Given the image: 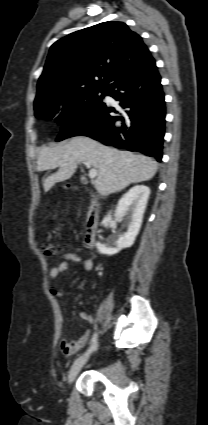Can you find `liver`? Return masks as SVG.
<instances>
[{
    "mask_svg": "<svg viewBox=\"0 0 208 425\" xmlns=\"http://www.w3.org/2000/svg\"><path fill=\"white\" fill-rule=\"evenodd\" d=\"M80 162H88L97 170L94 186L101 196L119 192L131 183L150 180L158 168L150 157L110 148L88 137H74L66 144L43 147L39 152L38 171L59 168L44 179V191L69 179Z\"/></svg>",
    "mask_w": 208,
    "mask_h": 425,
    "instance_id": "obj_1",
    "label": "liver"
}]
</instances>
